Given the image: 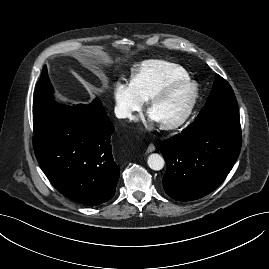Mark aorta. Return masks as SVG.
<instances>
[{
  "label": "aorta",
  "instance_id": "762f6f07",
  "mask_svg": "<svg viewBox=\"0 0 269 269\" xmlns=\"http://www.w3.org/2000/svg\"><path fill=\"white\" fill-rule=\"evenodd\" d=\"M148 166L155 171H159L164 167V159L157 153L150 154L147 159Z\"/></svg>",
  "mask_w": 269,
  "mask_h": 269
}]
</instances>
